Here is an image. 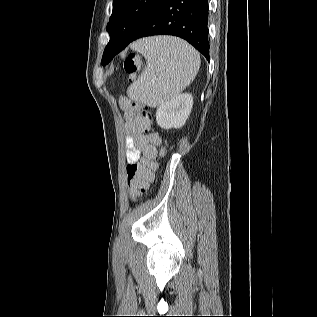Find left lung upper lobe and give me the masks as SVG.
Here are the masks:
<instances>
[{
    "label": "left lung upper lobe",
    "instance_id": "left-lung-upper-lobe-1",
    "mask_svg": "<svg viewBox=\"0 0 317 317\" xmlns=\"http://www.w3.org/2000/svg\"><path fill=\"white\" fill-rule=\"evenodd\" d=\"M163 0H113V12L107 25L110 41L125 44L132 40L147 19ZM108 53L105 50L102 65H106Z\"/></svg>",
    "mask_w": 317,
    "mask_h": 317
}]
</instances>
